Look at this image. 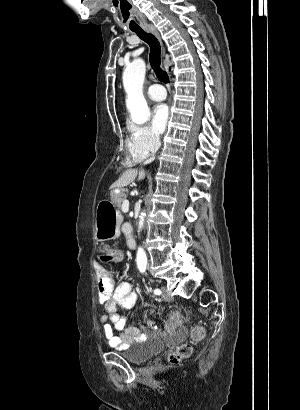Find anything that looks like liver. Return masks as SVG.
<instances>
[{"label":"liver","mask_w":300,"mask_h":410,"mask_svg":"<svg viewBox=\"0 0 300 410\" xmlns=\"http://www.w3.org/2000/svg\"><path fill=\"white\" fill-rule=\"evenodd\" d=\"M138 176V180H143L145 178V172L143 170H140L138 172L137 169H127L126 171L123 172V174L120 176V178L111 186L112 188H121L129 185L132 183L136 177Z\"/></svg>","instance_id":"obj_1"}]
</instances>
